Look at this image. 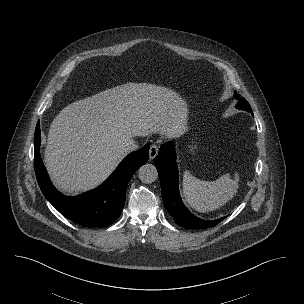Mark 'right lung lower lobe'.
Listing matches in <instances>:
<instances>
[{"label":"right lung lower lobe","instance_id":"98d812e1","mask_svg":"<svg viewBox=\"0 0 304 304\" xmlns=\"http://www.w3.org/2000/svg\"><path fill=\"white\" fill-rule=\"evenodd\" d=\"M40 123L34 136V164L38 184L48 201L66 218L85 227H106L121 214L133 174L148 161L149 144L129 154L99 187L76 197L59 193L40 156Z\"/></svg>","mask_w":304,"mask_h":304}]
</instances>
